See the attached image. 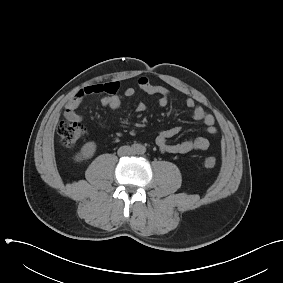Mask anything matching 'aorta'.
<instances>
[{
	"label": "aorta",
	"instance_id": "aorta-1",
	"mask_svg": "<svg viewBox=\"0 0 283 283\" xmlns=\"http://www.w3.org/2000/svg\"><path fill=\"white\" fill-rule=\"evenodd\" d=\"M136 152L139 153V154L144 153V147L142 145H138Z\"/></svg>",
	"mask_w": 283,
	"mask_h": 283
}]
</instances>
